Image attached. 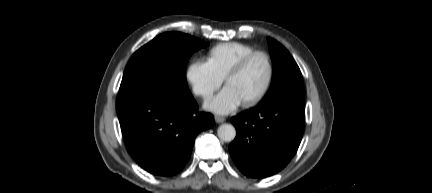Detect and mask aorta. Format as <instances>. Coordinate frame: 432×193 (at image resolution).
<instances>
[{"label": "aorta", "mask_w": 432, "mask_h": 193, "mask_svg": "<svg viewBox=\"0 0 432 193\" xmlns=\"http://www.w3.org/2000/svg\"><path fill=\"white\" fill-rule=\"evenodd\" d=\"M217 135L221 141L231 142L236 136L235 127L231 124H222L218 127Z\"/></svg>", "instance_id": "obj_1"}]
</instances>
